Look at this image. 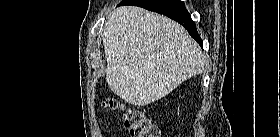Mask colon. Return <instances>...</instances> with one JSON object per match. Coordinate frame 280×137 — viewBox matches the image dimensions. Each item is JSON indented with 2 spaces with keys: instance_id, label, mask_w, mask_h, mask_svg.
<instances>
[{
  "instance_id": "obj_1",
  "label": "colon",
  "mask_w": 280,
  "mask_h": 137,
  "mask_svg": "<svg viewBox=\"0 0 280 137\" xmlns=\"http://www.w3.org/2000/svg\"><path fill=\"white\" fill-rule=\"evenodd\" d=\"M102 106L111 111H121L126 129L132 137H158L159 128L151 122L144 111L138 107L126 106L118 100L109 98L103 101Z\"/></svg>"
}]
</instances>
